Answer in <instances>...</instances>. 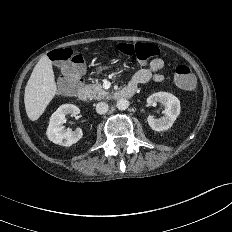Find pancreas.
I'll use <instances>...</instances> for the list:
<instances>
[{
    "instance_id": "cf45deb5",
    "label": "pancreas",
    "mask_w": 232,
    "mask_h": 232,
    "mask_svg": "<svg viewBox=\"0 0 232 232\" xmlns=\"http://www.w3.org/2000/svg\"><path fill=\"white\" fill-rule=\"evenodd\" d=\"M87 89L90 93L91 99H103L108 96V92L105 91L100 83L87 86Z\"/></svg>"
}]
</instances>
